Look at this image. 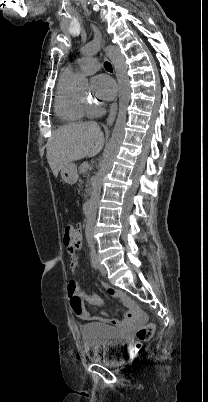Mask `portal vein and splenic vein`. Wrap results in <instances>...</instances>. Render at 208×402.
Here are the masks:
<instances>
[{"mask_svg":"<svg viewBox=\"0 0 208 402\" xmlns=\"http://www.w3.org/2000/svg\"><path fill=\"white\" fill-rule=\"evenodd\" d=\"M89 168V164H87V162H84L83 165L81 166L82 170H88Z\"/></svg>","mask_w":208,"mask_h":402,"instance_id":"1","label":"portal vein and splenic vein"}]
</instances>
